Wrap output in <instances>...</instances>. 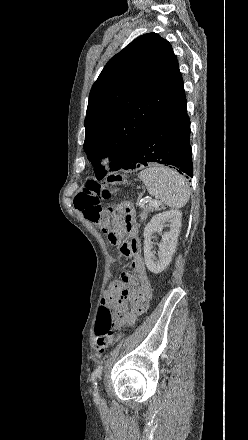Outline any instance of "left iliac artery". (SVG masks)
I'll return each instance as SVG.
<instances>
[{
	"instance_id": "1",
	"label": "left iliac artery",
	"mask_w": 248,
	"mask_h": 440,
	"mask_svg": "<svg viewBox=\"0 0 248 440\" xmlns=\"http://www.w3.org/2000/svg\"><path fill=\"white\" fill-rule=\"evenodd\" d=\"M102 371H103V365L99 364L97 366V368L95 369V371L92 373V381H93L95 387H97V380H99L101 378Z\"/></svg>"
}]
</instances>
